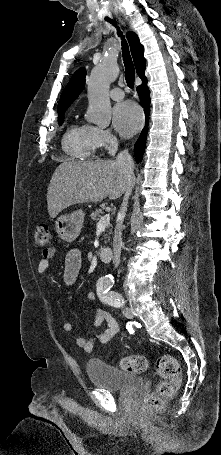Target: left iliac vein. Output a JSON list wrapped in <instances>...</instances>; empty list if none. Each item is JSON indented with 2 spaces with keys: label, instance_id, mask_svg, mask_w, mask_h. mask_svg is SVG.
<instances>
[{
  "label": "left iliac vein",
  "instance_id": "4c4485c4",
  "mask_svg": "<svg viewBox=\"0 0 221 455\" xmlns=\"http://www.w3.org/2000/svg\"><path fill=\"white\" fill-rule=\"evenodd\" d=\"M122 312L126 318L133 319V314L129 308L123 307Z\"/></svg>",
  "mask_w": 221,
  "mask_h": 455
}]
</instances>
